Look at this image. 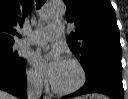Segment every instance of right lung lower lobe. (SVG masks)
<instances>
[{"label": "right lung lower lobe", "mask_w": 128, "mask_h": 99, "mask_svg": "<svg viewBox=\"0 0 128 99\" xmlns=\"http://www.w3.org/2000/svg\"><path fill=\"white\" fill-rule=\"evenodd\" d=\"M26 69L24 63L15 70L0 67V89L17 97H26Z\"/></svg>", "instance_id": "obj_1"}]
</instances>
